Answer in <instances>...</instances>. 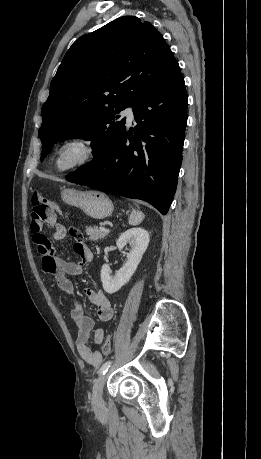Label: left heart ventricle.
<instances>
[{
    "instance_id": "b2bd125f",
    "label": "left heart ventricle",
    "mask_w": 261,
    "mask_h": 459,
    "mask_svg": "<svg viewBox=\"0 0 261 459\" xmlns=\"http://www.w3.org/2000/svg\"><path fill=\"white\" fill-rule=\"evenodd\" d=\"M77 155L75 149H68L59 157L58 164L61 166L68 165L76 159Z\"/></svg>"
}]
</instances>
